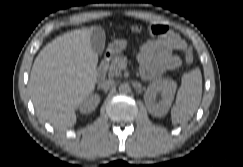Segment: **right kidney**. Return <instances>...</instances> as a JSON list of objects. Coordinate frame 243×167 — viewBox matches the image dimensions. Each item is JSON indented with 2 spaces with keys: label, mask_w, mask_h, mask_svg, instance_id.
Returning a JSON list of instances; mask_svg holds the SVG:
<instances>
[{
  "label": "right kidney",
  "mask_w": 243,
  "mask_h": 167,
  "mask_svg": "<svg viewBox=\"0 0 243 167\" xmlns=\"http://www.w3.org/2000/svg\"><path fill=\"white\" fill-rule=\"evenodd\" d=\"M100 102V97L98 95H93L84 99L80 104L81 113H89L97 107Z\"/></svg>",
  "instance_id": "ca27d5eb"
}]
</instances>
